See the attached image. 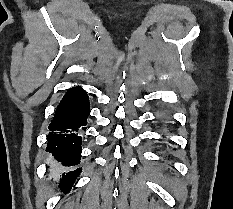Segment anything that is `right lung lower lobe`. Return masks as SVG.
<instances>
[{
    "label": "right lung lower lobe",
    "mask_w": 233,
    "mask_h": 209,
    "mask_svg": "<svg viewBox=\"0 0 233 209\" xmlns=\"http://www.w3.org/2000/svg\"><path fill=\"white\" fill-rule=\"evenodd\" d=\"M89 112L88 95L79 87L68 90L55 111L49 125L51 132L46 151L64 166L72 167L80 163L81 133L86 130ZM80 172L81 168H77L62 174L60 182L66 190L73 186Z\"/></svg>",
    "instance_id": "1"
}]
</instances>
